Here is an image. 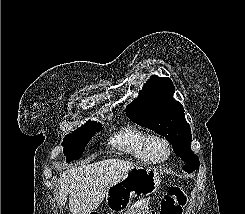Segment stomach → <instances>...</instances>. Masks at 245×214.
<instances>
[{"label":"stomach","mask_w":245,"mask_h":214,"mask_svg":"<svg viewBox=\"0 0 245 214\" xmlns=\"http://www.w3.org/2000/svg\"><path fill=\"white\" fill-rule=\"evenodd\" d=\"M160 181L159 173L155 169L136 166L120 182L108 189L106 204L112 212H124L130 206L133 196L156 192Z\"/></svg>","instance_id":"1"}]
</instances>
